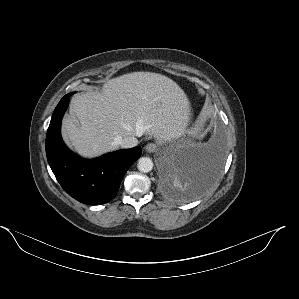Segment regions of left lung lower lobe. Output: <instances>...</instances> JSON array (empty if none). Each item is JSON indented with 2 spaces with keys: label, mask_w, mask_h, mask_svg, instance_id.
<instances>
[{
  "label": "left lung lower lobe",
  "mask_w": 299,
  "mask_h": 299,
  "mask_svg": "<svg viewBox=\"0 0 299 299\" xmlns=\"http://www.w3.org/2000/svg\"><path fill=\"white\" fill-rule=\"evenodd\" d=\"M225 155L221 140L192 152H184L163 164L161 190L169 198L192 196L216 181Z\"/></svg>",
  "instance_id": "left-lung-lower-lobe-1"
}]
</instances>
